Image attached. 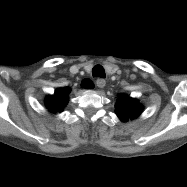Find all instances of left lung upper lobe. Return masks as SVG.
I'll use <instances>...</instances> for the list:
<instances>
[{
  "label": "left lung upper lobe",
  "instance_id": "obj_1",
  "mask_svg": "<svg viewBox=\"0 0 187 187\" xmlns=\"http://www.w3.org/2000/svg\"><path fill=\"white\" fill-rule=\"evenodd\" d=\"M116 107L118 108L116 114L122 121L133 119L142 111V106L137 103L136 99L126 98L123 94L117 100Z\"/></svg>",
  "mask_w": 187,
  "mask_h": 187
}]
</instances>
